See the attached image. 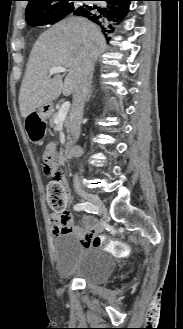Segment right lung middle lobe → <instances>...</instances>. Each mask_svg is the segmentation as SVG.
Masks as SVG:
<instances>
[{"label": "right lung middle lobe", "mask_w": 183, "mask_h": 329, "mask_svg": "<svg viewBox=\"0 0 183 329\" xmlns=\"http://www.w3.org/2000/svg\"><path fill=\"white\" fill-rule=\"evenodd\" d=\"M72 1H76V0H68L62 4H58L53 8L51 16L43 20H37V21L32 20L29 24H31L32 26H43L47 24H54L60 21L68 14L75 11V7Z\"/></svg>", "instance_id": "dd1d6c3e"}]
</instances>
